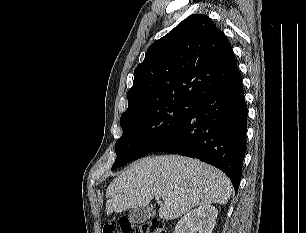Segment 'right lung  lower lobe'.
<instances>
[{
  "label": "right lung lower lobe",
  "instance_id": "obj_1",
  "mask_svg": "<svg viewBox=\"0 0 306 233\" xmlns=\"http://www.w3.org/2000/svg\"><path fill=\"white\" fill-rule=\"evenodd\" d=\"M247 106L241 76L208 95L152 151L198 158L224 171L238 190L245 156Z\"/></svg>",
  "mask_w": 306,
  "mask_h": 233
}]
</instances>
